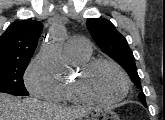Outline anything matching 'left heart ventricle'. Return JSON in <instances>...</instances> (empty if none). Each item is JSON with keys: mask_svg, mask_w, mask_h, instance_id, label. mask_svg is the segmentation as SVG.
<instances>
[{"mask_svg": "<svg viewBox=\"0 0 165 120\" xmlns=\"http://www.w3.org/2000/svg\"><path fill=\"white\" fill-rule=\"evenodd\" d=\"M89 89L99 98L112 99L122 94L124 83L116 69L109 65H100L89 77Z\"/></svg>", "mask_w": 165, "mask_h": 120, "instance_id": "b2bd125f", "label": "left heart ventricle"}]
</instances>
